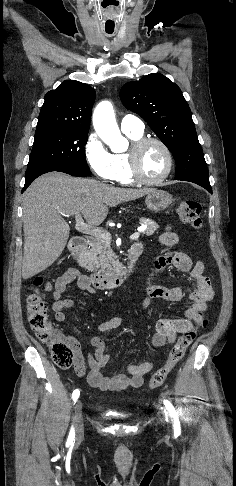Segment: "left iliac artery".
Masks as SVG:
<instances>
[{
	"instance_id": "1",
	"label": "left iliac artery",
	"mask_w": 236,
	"mask_h": 486,
	"mask_svg": "<svg viewBox=\"0 0 236 486\" xmlns=\"http://www.w3.org/2000/svg\"><path fill=\"white\" fill-rule=\"evenodd\" d=\"M164 405L167 408V410L170 412L171 416L173 417L174 431L179 433L180 432V422H179L178 416L176 414V411H175L173 405L168 400H164Z\"/></svg>"
}]
</instances>
